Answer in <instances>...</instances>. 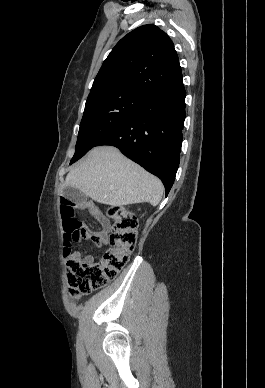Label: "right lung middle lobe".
Returning a JSON list of instances; mask_svg holds the SVG:
<instances>
[{"instance_id":"1","label":"right lung middle lobe","mask_w":265,"mask_h":388,"mask_svg":"<svg viewBox=\"0 0 265 388\" xmlns=\"http://www.w3.org/2000/svg\"><path fill=\"white\" fill-rule=\"evenodd\" d=\"M145 97L124 91H99L88 96L79 128L75 154L70 162L83 157L110 131L125 121Z\"/></svg>"}]
</instances>
